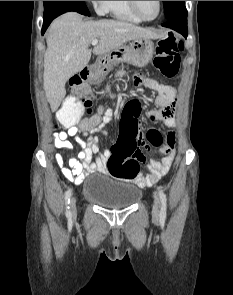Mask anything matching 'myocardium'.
<instances>
[{
  "mask_svg": "<svg viewBox=\"0 0 233 295\" xmlns=\"http://www.w3.org/2000/svg\"><path fill=\"white\" fill-rule=\"evenodd\" d=\"M128 3H129V6H130V9H131V11L141 20V21H144V22H151V21H154V20H156L158 17H159V15H160V13H161V9H162V2L161 1H157V5H158V9H157V13H156V15L153 17V18H145V17H143L141 14H140V12H139V10H138V8H137V2L136 1H128Z\"/></svg>",
  "mask_w": 233,
  "mask_h": 295,
  "instance_id": "f54148a6",
  "label": "myocardium"
}]
</instances>
